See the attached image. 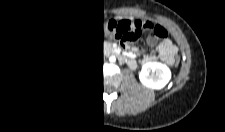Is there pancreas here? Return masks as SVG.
<instances>
[{
  "instance_id": "obj_1",
  "label": "pancreas",
  "mask_w": 225,
  "mask_h": 132,
  "mask_svg": "<svg viewBox=\"0 0 225 132\" xmlns=\"http://www.w3.org/2000/svg\"><path fill=\"white\" fill-rule=\"evenodd\" d=\"M104 52L106 55H110L111 53H113V48L110 43L107 42L104 43Z\"/></svg>"
}]
</instances>
